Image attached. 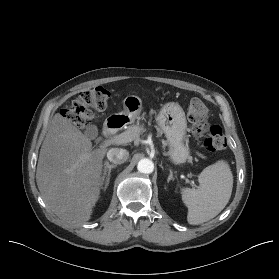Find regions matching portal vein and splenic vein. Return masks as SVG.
Segmentation results:
<instances>
[{"label":"portal vein and splenic vein","mask_w":279,"mask_h":279,"mask_svg":"<svg viewBox=\"0 0 279 279\" xmlns=\"http://www.w3.org/2000/svg\"><path fill=\"white\" fill-rule=\"evenodd\" d=\"M133 140H134V138L129 132H123V133L115 136L111 140L105 141L104 145H108L110 143L123 144V143L131 142ZM196 153L198 156H200V153H198V152H196Z\"/></svg>","instance_id":"portal-vein-and-splenic-vein-1"}]
</instances>
